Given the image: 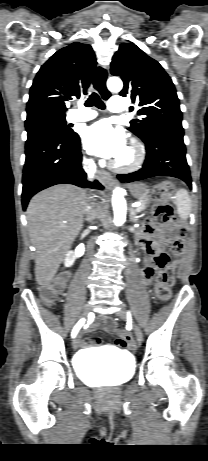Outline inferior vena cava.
Returning <instances> with one entry per match:
<instances>
[{
	"instance_id": "1",
	"label": "inferior vena cava",
	"mask_w": 208,
	"mask_h": 461,
	"mask_svg": "<svg viewBox=\"0 0 208 461\" xmlns=\"http://www.w3.org/2000/svg\"><path fill=\"white\" fill-rule=\"evenodd\" d=\"M83 167L86 170L88 174V178L92 179L94 177V174L96 173V165L92 159H84L83 160ZM90 199V198H89ZM97 216V211L94 208V205L92 203H89L88 205V214H87V219L89 222H92Z\"/></svg>"
}]
</instances>
